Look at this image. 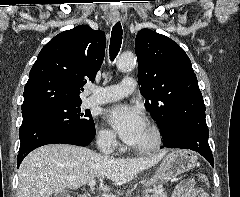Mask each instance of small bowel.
<instances>
[{
    "instance_id": "small-bowel-1",
    "label": "small bowel",
    "mask_w": 240,
    "mask_h": 197,
    "mask_svg": "<svg viewBox=\"0 0 240 197\" xmlns=\"http://www.w3.org/2000/svg\"><path fill=\"white\" fill-rule=\"evenodd\" d=\"M173 197H209V196L205 190L196 188L192 181H186L175 190Z\"/></svg>"
}]
</instances>
